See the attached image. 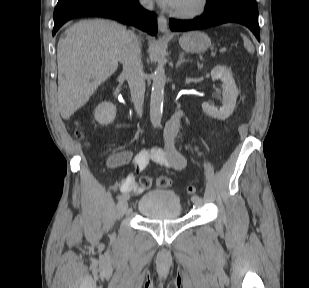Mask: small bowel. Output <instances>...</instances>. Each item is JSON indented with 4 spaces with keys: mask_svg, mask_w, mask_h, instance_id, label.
<instances>
[{
    "mask_svg": "<svg viewBox=\"0 0 309 288\" xmlns=\"http://www.w3.org/2000/svg\"><path fill=\"white\" fill-rule=\"evenodd\" d=\"M182 111L177 110L167 121L164 131V147L142 150L136 155L131 151H122L115 153L110 160L113 166H123L132 164L133 171L123 179L119 184L122 192L134 194L141 193L147 187L136 183L135 174L142 171L150 160L175 171H182L186 168L187 161L184 155L175 147V139L179 132Z\"/></svg>",
    "mask_w": 309,
    "mask_h": 288,
    "instance_id": "obj_1",
    "label": "small bowel"
}]
</instances>
